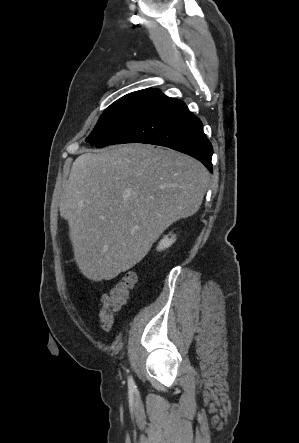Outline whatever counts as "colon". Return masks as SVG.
I'll return each instance as SVG.
<instances>
[{"mask_svg":"<svg viewBox=\"0 0 299 443\" xmlns=\"http://www.w3.org/2000/svg\"><path fill=\"white\" fill-rule=\"evenodd\" d=\"M137 276L134 272H127L102 296L99 319L102 328L110 330L115 321V314L126 303L130 293L136 286Z\"/></svg>","mask_w":299,"mask_h":443,"instance_id":"obj_1","label":"colon"}]
</instances>
